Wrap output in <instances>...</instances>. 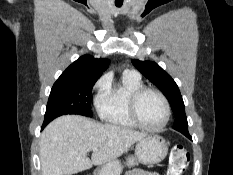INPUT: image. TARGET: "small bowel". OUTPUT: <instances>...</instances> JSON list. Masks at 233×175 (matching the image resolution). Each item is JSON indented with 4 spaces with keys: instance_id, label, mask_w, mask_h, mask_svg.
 Wrapping results in <instances>:
<instances>
[{
    "instance_id": "1",
    "label": "small bowel",
    "mask_w": 233,
    "mask_h": 175,
    "mask_svg": "<svg viewBox=\"0 0 233 175\" xmlns=\"http://www.w3.org/2000/svg\"><path fill=\"white\" fill-rule=\"evenodd\" d=\"M125 175H160V174L154 171H146V170L135 168V169H132L126 172Z\"/></svg>"
}]
</instances>
